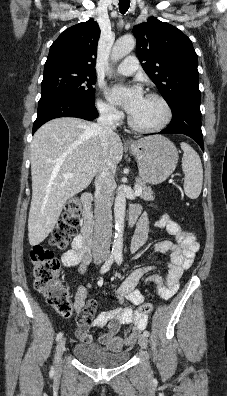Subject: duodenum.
<instances>
[{
  "instance_id": "obj_1",
  "label": "duodenum",
  "mask_w": 227,
  "mask_h": 396,
  "mask_svg": "<svg viewBox=\"0 0 227 396\" xmlns=\"http://www.w3.org/2000/svg\"><path fill=\"white\" fill-rule=\"evenodd\" d=\"M93 196L87 192L82 195L83 203V226L81 230V238L85 245L89 248L93 239V212H92ZM135 216L131 217V223H134Z\"/></svg>"
}]
</instances>
